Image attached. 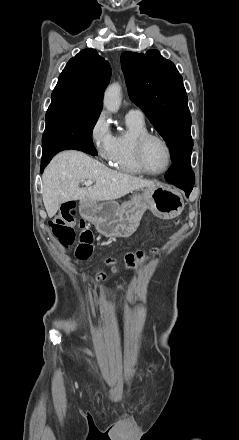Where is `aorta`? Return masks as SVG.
<instances>
[{"label": "aorta", "instance_id": "1", "mask_svg": "<svg viewBox=\"0 0 239 440\" xmlns=\"http://www.w3.org/2000/svg\"><path fill=\"white\" fill-rule=\"evenodd\" d=\"M121 102V86H119V84H111V86H108L104 94V108H106L108 112H118Z\"/></svg>", "mask_w": 239, "mask_h": 440}]
</instances>
